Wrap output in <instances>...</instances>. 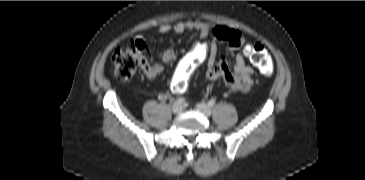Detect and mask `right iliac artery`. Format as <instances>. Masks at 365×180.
Masks as SVG:
<instances>
[{
	"instance_id": "right-iliac-artery-1",
	"label": "right iliac artery",
	"mask_w": 365,
	"mask_h": 180,
	"mask_svg": "<svg viewBox=\"0 0 365 180\" xmlns=\"http://www.w3.org/2000/svg\"><path fill=\"white\" fill-rule=\"evenodd\" d=\"M175 104H177V105L186 104V101H185V99H183V98H179V99H177V100L175 101Z\"/></svg>"
}]
</instances>
